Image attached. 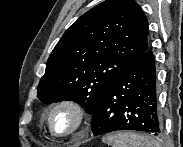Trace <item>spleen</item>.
<instances>
[{
    "label": "spleen",
    "instance_id": "3e777b00",
    "mask_svg": "<svg viewBox=\"0 0 183 147\" xmlns=\"http://www.w3.org/2000/svg\"><path fill=\"white\" fill-rule=\"evenodd\" d=\"M102 141L112 147H160L154 139L135 132H114L104 136Z\"/></svg>",
    "mask_w": 183,
    "mask_h": 147
}]
</instances>
